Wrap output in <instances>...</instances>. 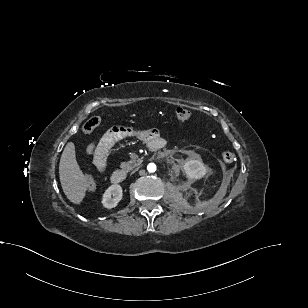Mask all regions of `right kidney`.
<instances>
[{"mask_svg": "<svg viewBox=\"0 0 308 308\" xmlns=\"http://www.w3.org/2000/svg\"><path fill=\"white\" fill-rule=\"evenodd\" d=\"M122 187L119 184H113L109 186L102 198V204L105 208L111 209L117 206L123 196Z\"/></svg>", "mask_w": 308, "mask_h": 308, "instance_id": "obj_1", "label": "right kidney"}]
</instances>
